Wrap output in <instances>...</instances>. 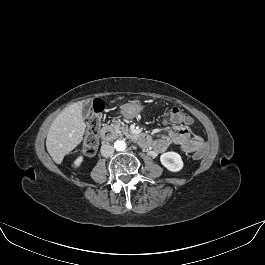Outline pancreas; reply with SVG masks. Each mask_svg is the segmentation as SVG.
Listing matches in <instances>:
<instances>
[{"instance_id": "cf45deb5", "label": "pancreas", "mask_w": 265, "mask_h": 265, "mask_svg": "<svg viewBox=\"0 0 265 265\" xmlns=\"http://www.w3.org/2000/svg\"><path fill=\"white\" fill-rule=\"evenodd\" d=\"M111 127H113L116 131V133L119 136H129V129L127 126L123 125L121 122H116L115 124H112Z\"/></svg>"}]
</instances>
